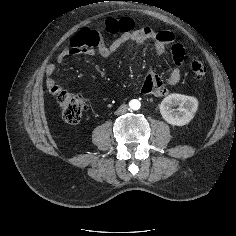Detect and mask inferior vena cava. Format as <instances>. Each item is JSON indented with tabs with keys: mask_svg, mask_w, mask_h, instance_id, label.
<instances>
[{
	"mask_svg": "<svg viewBox=\"0 0 236 236\" xmlns=\"http://www.w3.org/2000/svg\"><path fill=\"white\" fill-rule=\"evenodd\" d=\"M128 106L126 104H122L117 110H116V114H123L127 111Z\"/></svg>",
	"mask_w": 236,
	"mask_h": 236,
	"instance_id": "inferior-vena-cava-1",
	"label": "inferior vena cava"
}]
</instances>
